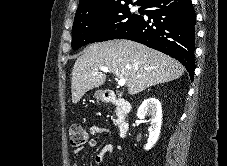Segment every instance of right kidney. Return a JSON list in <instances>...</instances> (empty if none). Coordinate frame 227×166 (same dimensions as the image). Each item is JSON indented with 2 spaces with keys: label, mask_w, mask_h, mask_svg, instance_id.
Returning <instances> with one entry per match:
<instances>
[{
  "label": "right kidney",
  "mask_w": 227,
  "mask_h": 166,
  "mask_svg": "<svg viewBox=\"0 0 227 166\" xmlns=\"http://www.w3.org/2000/svg\"><path fill=\"white\" fill-rule=\"evenodd\" d=\"M146 116L151 117L148 121L145 120L146 123L150 122V127L148 142L144 148L149 150L157 142L162 125V108L158 99L148 98L141 104L137 111V117L144 120Z\"/></svg>",
  "instance_id": "obj_1"
}]
</instances>
